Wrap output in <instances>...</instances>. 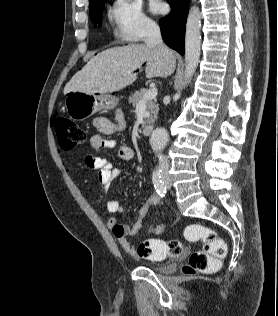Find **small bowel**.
Masks as SVG:
<instances>
[{"label": "small bowel", "mask_w": 278, "mask_h": 316, "mask_svg": "<svg viewBox=\"0 0 278 316\" xmlns=\"http://www.w3.org/2000/svg\"><path fill=\"white\" fill-rule=\"evenodd\" d=\"M93 125L98 133L92 135L90 138V146L92 147L93 152L84 157V164L87 168L98 172L99 183L103 187L106 195V208L111 214L107 220L108 228L126 253L132 256H140L137 249L130 243L129 237H133L139 233L142 228L143 218L147 214L149 208L161 204L162 200L158 194L152 193L139 209L133 224H119L117 222L114 214L124 212V207L117 200L108 198L107 193L110 184L120 175L121 171L105 158L98 156L97 153L105 149L117 148V154L121 160L131 161L135 157V151L132 147L127 145L118 146L114 139L107 137L125 129L126 121L121 109L116 110L115 121H111L106 117H97L94 119ZM163 231L164 224L162 223L149 228V232L154 235H160Z\"/></svg>", "instance_id": "obj_1"}]
</instances>
